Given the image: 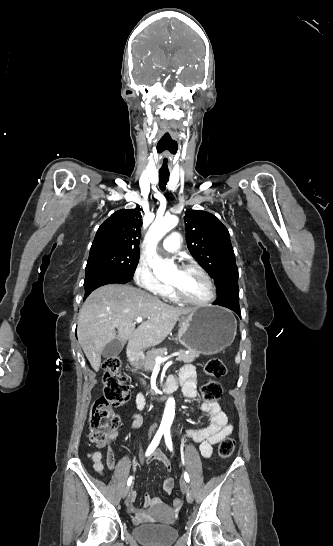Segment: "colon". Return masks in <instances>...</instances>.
Masks as SVG:
<instances>
[{
  "mask_svg": "<svg viewBox=\"0 0 333 546\" xmlns=\"http://www.w3.org/2000/svg\"><path fill=\"white\" fill-rule=\"evenodd\" d=\"M104 369V395L93 404L90 412V440L96 445H103L112 438L120 421L113 411L126 403L130 397L129 386L125 378L120 374V360L118 357H109L103 362ZM205 373L215 379L227 374L225 363L218 358L209 359L204 366ZM204 402H213L222 395V388L216 380H209L201 389ZM235 440L229 436L223 438L218 447V455L222 459L229 458L235 450ZM173 505L176 509L183 506L181 499H175Z\"/></svg>",
  "mask_w": 333,
  "mask_h": 546,
  "instance_id": "colon-1",
  "label": "colon"
}]
</instances>
